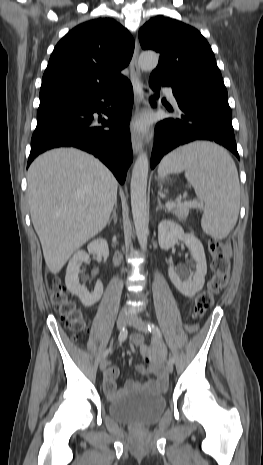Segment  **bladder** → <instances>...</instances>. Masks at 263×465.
Wrapping results in <instances>:
<instances>
[{
    "instance_id": "1",
    "label": "bladder",
    "mask_w": 263,
    "mask_h": 465,
    "mask_svg": "<svg viewBox=\"0 0 263 465\" xmlns=\"http://www.w3.org/2000/svg\"><path fill=\"white\" fill-rule=\"evenodd\" d=\"M166 407L162 394L148 389L124 393L108 405V413L117 422L133 426H151L158 422Z\"/></svg>"
}]
</instances>
